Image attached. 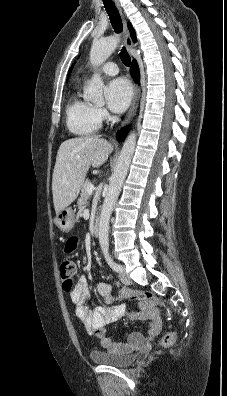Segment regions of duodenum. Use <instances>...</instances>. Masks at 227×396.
<instances>
[{"mask_svg":"<svg viewBox=\"0 0 227 396\" xmlns=\"http://www.w3.org/2000/svg\"><path fill=\"white\" fill-rule=\"evenodd\" d=\"M93 232L96 236L100 234V222L99 220H96L93 226Z\"/></svg>","mask_w":227,"mask_h":396,"instance_id":"duodenum-1","label":"duodenum"}]
</instances>
